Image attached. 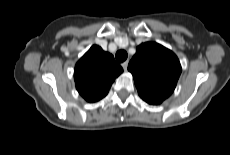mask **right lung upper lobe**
<instances>
[{"label": "right lung upper lobe", "mask_w": 230, "mask_h": 155, "mask_svg": "<svg viewBox=\"0 0 230 155\" xmlns=\"http://www.w3.org/2000/svg\"><path fill=\"white\" fill-rule=\"evenodd\" d=\"M122 72V67L110 53L93 45L76 63V89L87 102L99 101L107 95L115 78Z\"/></svg>", "instance_id": "cb5924a9"}]
</instances>
